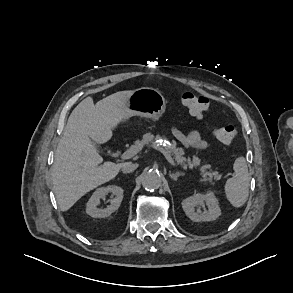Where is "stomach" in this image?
<instances>
[{"label":"stomach","mask_w":293,"mask_h":293,"mask_svg":"<svg viewBox=\"0 0 293 293\" xmlns=\"http://www.w3.org/2000/svg\"><path fill=\"white\" fill-rule=\"evenodd\" d=\"M126 106L128 114L125 118L138 115L157 121L165 113L166 101L158 90L144 87L132 91L127 98Z\"/></svg>","instance_id":"1"}]
</instances>
